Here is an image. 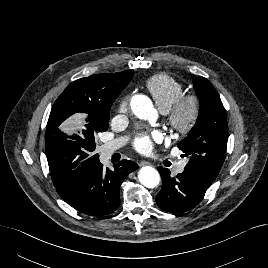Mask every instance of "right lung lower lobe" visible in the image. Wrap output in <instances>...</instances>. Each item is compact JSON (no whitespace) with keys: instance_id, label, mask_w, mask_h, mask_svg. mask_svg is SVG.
<instances>
[{"instance_id":"98d812e1","label":"right lung lower lobe","mask_w":268,"mask_h":268,"mask_svg":"<svg viewBox=\"0 0 268 268\" xmlns=\"http://www.w3.org/2000/svg\"><path fill=\"white\" fill-rule=\"evenodd\" d=\"M138 165L122 160L114 170L103 169L100 161L94 162L62 197L73 208L84 214L102 216L115 211L120 204V186Z\"/></svg>"}]
</instances>
